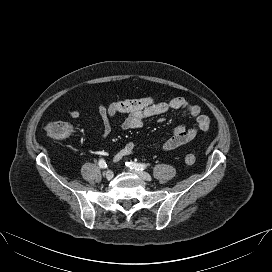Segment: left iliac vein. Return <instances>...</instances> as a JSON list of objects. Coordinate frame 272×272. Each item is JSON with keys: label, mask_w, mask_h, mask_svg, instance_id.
<instances>
[{"label": "left iliac vein", "mask_w": 272, "mask_h": 272, "mask_svg": "<svg viewBox=\"0 0 272 272\" xmlns=\"http://www.w3.org/2000/svg\"><path fill=\"white\" fill-rule=\"evenodd\" d=\"M130 171L137 174L140 178H142L145 181H151L152 180L151 175L148 174L147 172L140 171V170L139 171L138 170H130Z\"/></svg>", "instance_id": "obj_1"}]
</instances>
